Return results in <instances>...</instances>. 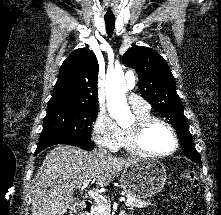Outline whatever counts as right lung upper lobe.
Returning a JSON list of instances; mask_svg holds the SVG:
<instances>
[{
    "instance_id": "right-lung-upper-lobe-1",
    "label": "right lung upper lobe",
    "mask_w": 221,
    "mask_h": 215,
    "mask_svg": "<svg viewBox=\"0 0 221 215\" xmlns=\"http://www.w3.org/2000/svg\"><path fill=\"white\" fill-rule=\"evenodd\" d=\"M98 61L95 54L80 48L63 62L48 102L47 113L68 109H98Z\"/></svg>"
}]
</instances>
